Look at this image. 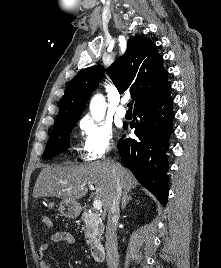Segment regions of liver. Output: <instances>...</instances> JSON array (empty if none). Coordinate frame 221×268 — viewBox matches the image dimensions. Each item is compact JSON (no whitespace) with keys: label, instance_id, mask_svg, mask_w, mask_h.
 <instances>
[{"label":"liver","instance_id":"obj_1","mask_svg":"<svg viewBox=\"0 0 221 268\" xmlns=\"http://www.w3.org/2000/svg\"><path fill=\"white\" fill-rule=\"evenodd\" d=\"M115 165L122 188L130 191L138 185L133 174L119 163L107 161L93 162L82 166H46L40 172L33 197H57L62 200L76 201L86 195L87 184H95L92 196L102 201L108 210L112 188V166Z\"/></svg>","mask_w":221,"mask_h":268}]
</instances>
